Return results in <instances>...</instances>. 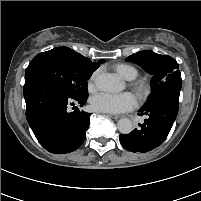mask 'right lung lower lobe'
<instances>
[{"label":"right lung lower lobe","mask_w":201,"mask_h":201,"mask_svg":"<svg viewBox=\"0 0 201 201\" xmlns=\"http://www.w3.org/2000/svg\"><path fill=\"white\" fill-rule=\"evenodd\" d=\"M27 121L40 144L55 154L69 153L85 140L90 113L67 111L69 104L86 100L73 99L57 84L40 77L25 80L23 88Z\"/></svg>","instance_id":"98d812e1"}]
</instances>
